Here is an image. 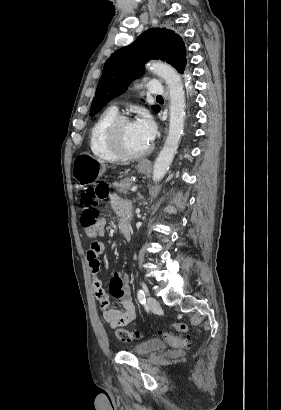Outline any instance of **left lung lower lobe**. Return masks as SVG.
<instances>
[{
  "label": "left lung lower lobe",
  "instance_id": "1",
  "mask_svg": "<svg viewBox=\"0 0 281 410\" xmlns=\"http://www.w3.org/2000/svg\"><path fill=\"white\" fill-rule=\"evenodd\" d=\"M188 76H189V74L187 73V74H186V77L189 78Z\"/></svg>",
  "mask_w": 281,
  "mask_h": 410
}]
</instances>
